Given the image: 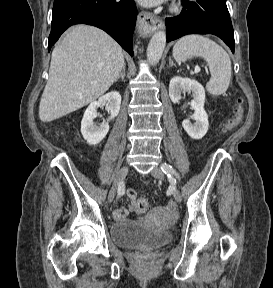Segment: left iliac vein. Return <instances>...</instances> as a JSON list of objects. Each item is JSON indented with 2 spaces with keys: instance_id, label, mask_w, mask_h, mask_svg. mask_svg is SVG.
Instances as JSON below:
<instances>
[{
  "instance_id": "obj_1",
  "label": "left iliac vein",
  "mask_w": 273,
  "mask_h": 288,
  "mask_svg": "<svg viewBox=\"0 0 273 288\" xmlns=\"http://www.w3.org/2000/svg\"><path fill=\"white\" fill-rule=\"evenodd\" d=\"M151 175L157 179L163 180L164 179V173L159 167H155L151 171ZM172 194L173 198L177 203H180L182 200V196L180 191L177 189V187H172Z\"/></svg>"
}]
</instances>
